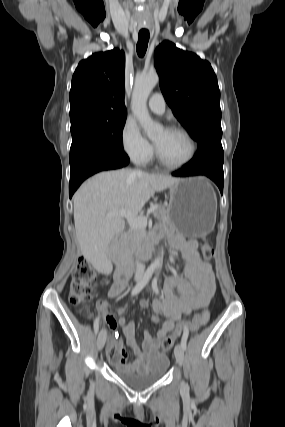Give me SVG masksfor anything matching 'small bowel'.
Returning a JSON list of instances; mask_svg holds the SVG:
<instances>
[{
    "label": "small bowel",
    "instance_id": "small-bowel-1",
    "mask_svg": "<svg viewBox=\"0 0 285 427\" xmlns=\"http://www.w3.org/2000/svg\"><path fill=\"white\" fill-rule=\"evenodd\" d=\"M170 244L173 249L178 250L184 260L183 275L170 276L164 285V298L157 299L152 303L154 315L152 321H161V327L155 335L145 331L142 343H139L135 336V325L128 322L122 316L118 319L109 312L110 305L105 300L97 302V310L102 314L104 322L115 331L117 326L122 328L127 345L133 351L135 359L127 362L128 353L123 348L120 341L108 344L106 353L109 361L122 368L133 371H145L148 368H156L162 364H167V358L160 353L161 340L171 333L175 322H180L183 317L189 316L192 311L204 309L203 324L209 318L206 310L210 300L215 294V276L210 263L202 260L198 253V243L195 240H186L177 234L169 235ZM115 278V276H114ZM126 281L114 279L108 296L117 297L126 287ZM150 306L148 300H141L139 307L146 309ZM125 309L119 307L117 313L122 315ZM117 350L120 360L114 361L109 357V353Z\"/></svg>",
    "mask_w": 285,
    "mask_h": 427
}]
</instances>
